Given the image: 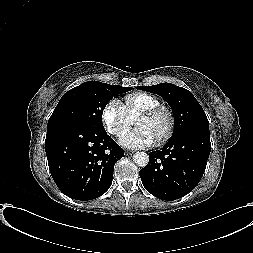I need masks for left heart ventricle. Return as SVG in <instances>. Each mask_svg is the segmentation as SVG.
I'll return each mask as SVG.
<instances>
[{
    "mask_svg": "<svg viewBox=\"0 0 253 253\" xmlns=\"http://www.w3.org/2000/svg\"><path fill=\"white\" fill-rule=\"evenodd\" d=\"M167 123L168 119L165 114L156 117L139 116L136 120V127L149 130L158 140L166 129Z\"/></svg>",
    "mask_w": 253,
    "mask_h": 253,
    "instance_id": "obj_1",
    "label": "left heart ventricle"
}]
</instances>
